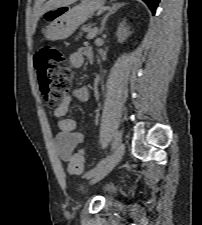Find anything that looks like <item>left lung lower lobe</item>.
<instances>
[{
  "instance_id": "1",
  "label": "left lung lower lobe",
  "mask_w": 202,
  "mask_h": 225,
  "mask_svg": "<svg viewBox=\"0 0 202 225\" xmlns=\"http://www.w3.org/2000/svg\"><path fill=\"white\" fill-rule=\"evenodd\" d=\"M143 1L148 5L152 13L155 14L156 8L160 0H143Z\"/></svg>"
}]
</instances>
